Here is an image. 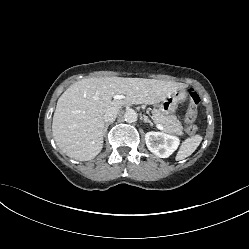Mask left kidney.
Returning a JSON list of instances; mask_svg holds the SVG:
<instances>
[{
    "label": "left kidney",
    "instance_id": "5707ae66",
    "mask_svg": "<svg viewBox=\"0 0 249 249\" xmlns=\"http://www.w3.org/2000/svg\"><path fill=\"white\" fill-rule=\"evenodd\" d=\"M147 148L160 158H168L178 148L179 138L163 132H147L145 135Z\"/></svg>",
    "mask_w": 249,
    "mask_h": 249
}]
</instances>
